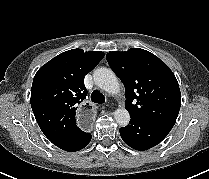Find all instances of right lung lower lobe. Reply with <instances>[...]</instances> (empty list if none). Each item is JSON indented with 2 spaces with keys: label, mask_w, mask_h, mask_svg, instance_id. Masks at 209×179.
I'll return each mask as SVG.
<instances>
[{
  "label": "right lung lower lobe",
  "mask_w": 209,
  "mask_h": 179,
  "mask_svg": "<svg viewBox=\"0 0 209 179\" xmlns=\"http://www.w3.org/2000/svg\"><path fill=\"white\" fill-rule=\"evenodd\" d=\"M91 137L92 136L90 133H86L78 128L67 137L53 144L65 151L75 152L87 146L91 140Z\"/></svg>",
  "instance_id": "obj_1"
}]
</instances>
